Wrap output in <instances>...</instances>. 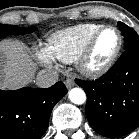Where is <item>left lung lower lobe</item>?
<instances>
[{"label":"left lung lower lobe","mask_w":139,"mask_h":139,"mask_svg":"<svg viewBox=\"0 0 139 139\" xmlns=\"http://www.w3.org/2000/svg\"><path fill=\"white\" fill-rule=\"evenodd\" d=\"M76 83L86 92V116L97 133L118 138L139 126V46L126 49L102 78Z\"/></svg>","instance_id":"left-lung-lower-lobe-1"}]
</instances>
